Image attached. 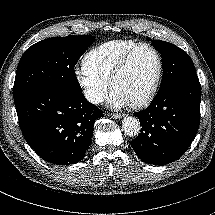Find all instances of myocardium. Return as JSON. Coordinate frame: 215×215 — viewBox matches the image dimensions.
Here are the masks:
<instances>
[{
    "label": "myocardium",
    "mask_w": 215,
    "mask_h": 215,
    "mask_svg": "<svg viewBox=\"0 0 215 215\" xmlns=\"http://www.w3.org/2000/svg\"><path fill=\"white\" fill-rule=\"evenodd\" d=\"M141 47H148L154 52L157 59V70L153 81L151 82L145 95L138 101L128 104L131 109H141L147 106L153 100L157 92L163 72V61L159 50L154 45L148 42H140L135 44L120 58L109 80L110 92L113 93L115 82L125 71L133 54Z\"/></svg>",
    "instance_id": "1"
}]
</instances>
